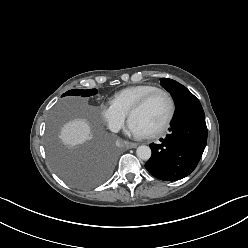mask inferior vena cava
<instances>
[{
	"mask_svg": "<svg viewBox=\"0 0 248 248\" xmlns=\"http://www.w3.org/2000/svg\"><path fill=\"white\" fill-rule=\"evenodd\" d=\"M120 128L121 126L119 124L112 123L109 125V129L115 133H117L120 130Z\"/></svg>",
	"mask_w": 248,
	"mask_h": 248,
	"instance_id": "inferior-vena-cava-1",
	"label": "inferior vena cava"
}]
</instances>
